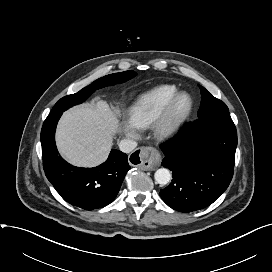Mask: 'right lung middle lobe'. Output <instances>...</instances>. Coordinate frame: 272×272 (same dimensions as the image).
I'll list each match as a JSON object with an SVG mask.
<instances>
[{"label":"right lung middle lobe","instance_id":"1","mask_svg":"<svg viewBox=\"0 0 272 272\" xmlns=\"http://www.w3.org/2000/svg\"><path fill=\"white\" fill-rule=\"evenodd\" d=\"M135 75L136 73L134 71L129 70L121 73L110 74L102 78H99L98 80L94 81L92 84L83 88L79 92L61 98L55 104L50 114L63 112L74 105L84 102L96 90L106 86L115 85L117 83H123L133 78Z\"/></svg>","mask_w":272,"mask_h":272}]
</instances>
